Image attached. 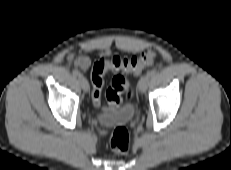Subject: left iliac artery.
<instances>
[{"label":"left iliac artery","mask_w":231,"mask_h":170,"mask_svg":"<svg viewBox=\"0 0 231 170\" xmlns=\"http://www.w3.org/2000/svg\"><path fill=\"white\" fill-rule=\"evenodd\" d=\"M155 74H156V71L155 70H151V71H149L148 73H147V75L149 76V77H154L155 76Z\"/></svg>","instance_id":"obj_1"}]
</instances>
